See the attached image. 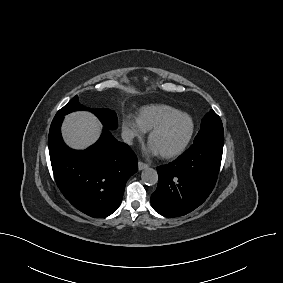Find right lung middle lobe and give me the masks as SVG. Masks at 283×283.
Listing matches in <instances>:
<instances>
[{
	"label": "right lung middle lobe",
	"mask_w": 283,
	"mask_h": 283,
	"mask_svg": "<svg viewBox=\"0 0 283 283\" xmlns=\"http://www.w3.org/2000/svg\"><path fill=\"white\" fill-rule=\"evenodd\" d=\"M87 110L83 105L79 103L78 96H75L71 99L63 108H61L56 116L59 115H66L72 111L76 110ZM102 122V124L108 129H115L118 126L117 122V115L115 112L111 111L110 109H94L91 110Z\"/></svg>",
	"instance_id": "right-lung-middle-lobe-1"
}]
</instances>
